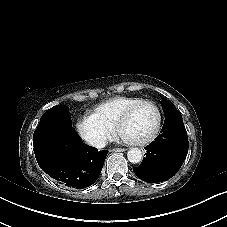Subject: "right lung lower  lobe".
Here are the masks:
<instances>
[{"label":"right lung lower lobe","instance_id":"98d812e1","mask_svg":"<svg viewBox=\"0 0 227 227\" xmlns=\"http://www.w3.org/2000/svg\"><path fill=\"white\" fill-rule=\"evenodd\" d=\"M33 145L40 168L53 179L77 189L95 183L108 154L81 140L67 138L58 128L34 132Z\"/></svg>","mask_w":227,"mask_h":227}]
</instances>
